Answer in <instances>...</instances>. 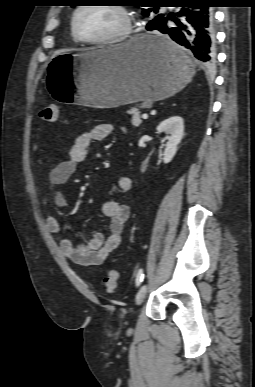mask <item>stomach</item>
Wrapping results in <instances>:
<instances>
[{
	"label": "stomach",
	"mask_w": 255,
	"mask_h": 387,
	"mask_svg": "<svg viewBox=\"0 0 255 387\" xmlns=\"http://www.w3.org/2000/svg\"><path fill=\"white\" fill-rule=\"evenodd\" d=\"M179 53L182 64L153 49L149 35H140L111 48L60 54L47 65L46 85L55 104L69 108L158 101L192 80L194 67L181 50Z\"/></svg>",
	"instance_id": "0dacf381"
}]
</instances>
